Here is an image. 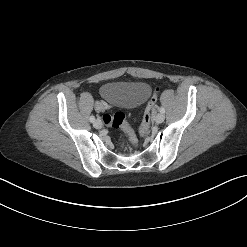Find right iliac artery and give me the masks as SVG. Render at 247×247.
<instances>
[{
  "label": "right iliac artery",
  "instance_id": "82829eb1",
  "mask_svg": "<svg viewBox=\"0 0 247 247\" xmlns=\"http://www.w3.org/2000/svg\"><path fill=\"white\" fill-rule=\"evenodd\" d=\"M90 121L93 123L95 121V117L92 115L90 116Z\"/></svg>",
  "mask_w": 247,
  "mask_h": 247
}]
</instances>
